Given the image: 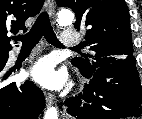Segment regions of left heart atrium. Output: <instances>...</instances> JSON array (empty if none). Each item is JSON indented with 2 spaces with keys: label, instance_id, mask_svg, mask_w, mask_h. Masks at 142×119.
<instances>
[{
  "label": "left heart atrium",
  "instance_id": "left-heart-atrium-1",
  "mask_svg": "<svg viewBox=\"0 0 142 119\" xmlns=\"http://www.w3.org/2000/svg\"><path fill=\"white\" fill-rule=\"evenodd\" d=\"M35 81L47 88H59L62 86L65 76L54 69V64L49 58L39 60L31 70Z\"/></svg>",
  "mask_w": 142,
  "mask_h": 119
}]
</instances>
